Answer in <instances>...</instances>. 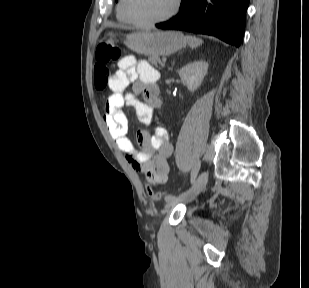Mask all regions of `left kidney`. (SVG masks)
Segmentation results:
<instances>
[{
    "label": "left kidney",
    "mask_w": 309,
    "mask_h": 288,
    "mask_svg": "<svg viewBox=\"0 0 309 288\" xmlns=\"http://www.w3.org/2000/svg\"><path fill=\"white\" fill-rule=\"evenodd\" d=\"M208 63L206 61H194L182 67L179 76L188 90L194 92L202 83L208 71Z\"/></svg>",
    "instance_id": "1"
}]
</instances>
